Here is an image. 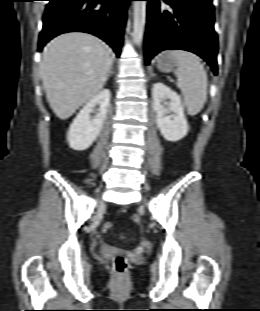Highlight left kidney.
<instances>
[{"instance_id":"1","label":"left kidney","mask_w":260,"mask_h":311,"mask_svg":"<svg viewBox=\"0 0 260 311\" xmlns=\"http://www.w3.org/2000/svg\"><path fill=\"white\" fill-rule=\"evenodd\" d=\"M152 108L156 113V124L162 136L171 142L184 138L189 126L184 115V106L180 96L162 83H156L152 89ZM169 99L170 102L165 101ZM170 111L172 114L167 116Z\"/></svg>"}]
</instances>
